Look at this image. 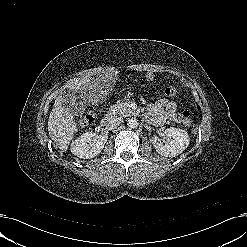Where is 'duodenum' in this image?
Returning <instances> with one entry per match:
<instances>
[{"mask_svg":"<svg viewBox=\"0 0 247 247\" xmlns=\"http://www.w3.org/2000/svg\"><path fill=\"white\" fill-rule=\"evenodd\" d=\"M112 120V115H106L105 117H104V119L102 120V125L103 126H106L107 124H109L110 123V121Z\"/></svg>","mask_w":247,"mask_h":247,"instance_id":"duodenum-1","label":"duodenum"}]
</instances>
